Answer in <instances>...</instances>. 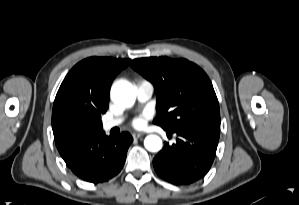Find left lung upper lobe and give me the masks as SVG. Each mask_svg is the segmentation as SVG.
<instances>
[{"label": "left lung upper lobe", "mask_w": 299, "mask_h": 205, "mask_svg": "<svg viewBox=\"0 0 299 205\" xmlns=\"http://www.w3.org/2000/svg\"><path fill=\"white\" fill-rule=\"evenodd\" d=\"M131 66L149 80L157 96L153 122L165 130L220 124L219 103L207 74L186 59L149 57Z\"/></svg>", "instance_id": "left-lung-upper-lobe-1"}]
</instances>
